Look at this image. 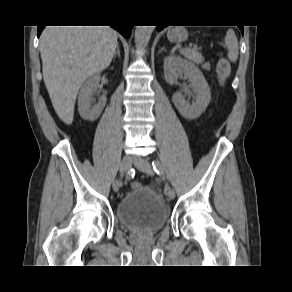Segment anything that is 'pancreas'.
<instances>
[{"label":"pancreas","mask_w":292,"mask_h":292,"mask_svg":"<svg viewBox=\"0 0 292 292\" xmlns=\"http://www.w3.org/2000/svg\"><path fill=\"white\" fill-rule=\"evenodd\" d=\"M182 54L196 64H202L204 60L202 54L196 49L185 48Z\"/></svg>","instance_id":"1"}]
</instances>
